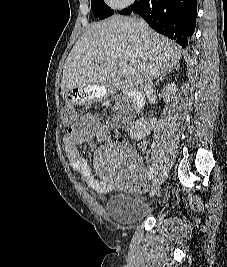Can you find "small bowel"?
<instances>
[{"label":"small bowel","instance_id":"obj_1","mask_svg":"<svg viewBox=\"0 0 227 267\" xmlns=\"http://www.w3.org/2000/svg\"><path fill=\"white\" fill-rule=\"evenodd\" d=\"M110 129L111 124L102 118L101 113L95 112L92 114L90 122L83 127H70L68 133L64 137L65 152L71 168L79 175L82 182L91 191L96 193H106L108 191V181H101L94 176L86 159L81 155L79 147L85 145L94 138L100 141L106 140L109 137ZM129 171H131L130 166ZM126 172L121 175V178L130 179L131 175L126 174ZM136 174L140 178L137 190H145L146 184L143 181L144 173L136 169Z\"/></svg>","mask_w":227,"mask_h":267}]
</instances>
